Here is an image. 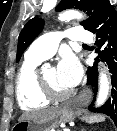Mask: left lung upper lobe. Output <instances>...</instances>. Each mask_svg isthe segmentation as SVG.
Wrapping results in <instances>:
<instances>
[{"instance_id": "left-lung-upper-lobe-1", "label": "left lung upper lobe", "mask_w": 117, "mask_h": 131, "mask_svg": "<svg viewBox=\"0 0 117 131\" xmlns=\"http://www.w3.org/2000/svg\"><path fill=\"white\" fill-rule=\"evenodd\" d=\"M109 0H61L56 7V11H62L69 8H77L86 11L90 16L88 20L81 22L84 29L92 31L97 24L99 16ZM44 21L34 17L29 20L18 37L17 62L28 45L42 31Z\"/></svg>"}]
</instances>
